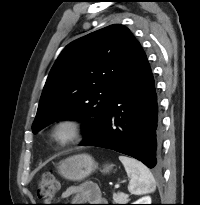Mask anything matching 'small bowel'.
<instances>
[{
  "label": "small bowel",
  "instance_id": "c3829d8e",
  "mask_svg": "<svg viewBox=\"0 0 200 205\" xmlns=\"http://www.w3.org/2000/svg\"><path fill=\"white\" fill-rule=\"evenodd\" d=\"M72 196H74L79 200H85L89 203H101L104 201L98 187L91 182L83 183L80 186L68 187L62 193V198H68ZM90 205H102V204H90Z\"/></svg>",
  "mask_w": 200,
  "mask_h": 205
}]
</instances>
